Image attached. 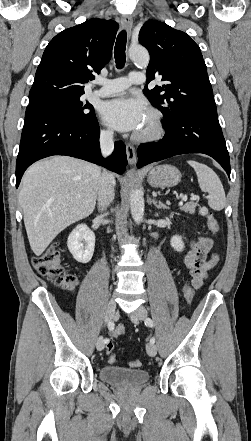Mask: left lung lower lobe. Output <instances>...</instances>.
Returning <instances> with one entry per match:
<instances>
[{"label":"left lung lower lobe","mask_w":251,"mask_h":441,"mask_svg":"<svg viewBox=\"0 0 251 441\" xmlns=\"http://www.w3.org/2000/svg\"><path fill=\"white\" fill-rule=\"evenodd\" d=\"M163 126L166 133L161 140L138 147L139 168L179 154L204 153L213 157L230 177L229 154L217 111L183 113Z\"/></svg>","instance_id":"left-lung-lower-lobe-1"}]
</instances>
